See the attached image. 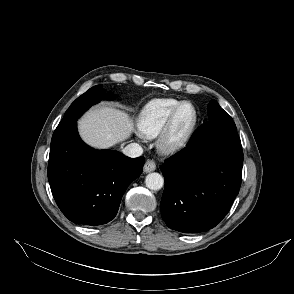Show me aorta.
<instances>
[{"mask_svg":"<svg viewBox=\"0 0 294 294\" xmlns=\"http://www.w3.org/2000/svg\"><path fill=\"white\" fill-rule=\"evenodd\" d=\"M145 184L151 190H160L164 185V178L159 173H149L145 178Z\"/></svg>","mask_w":294,"mask_h":294,"instance_id":"762f6f07","label":"aorta"}]
</instances>
